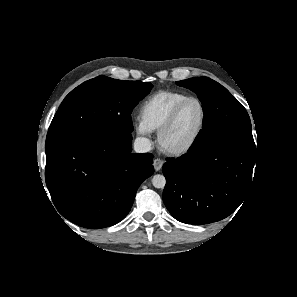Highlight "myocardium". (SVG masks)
Wrapping results in <instances>:
<instances>
[{
	"label": "myocardium",
	"mask_w": 297,
	"mask_h": 297,
	"mask_svg": "<svg viewBox=\"0 0 297 297\" xmlns=\"http://www.w3.org/2000/svg\"><path fill=\"white\" fill-rule=\"evenodd\" d=\"M190 102H197L201 108V121L199 124V127L196 131V133L194 134V136L192 137V139L183 147L180 148H176V149H171L168 148L164 145V138L166 136V134L169 132V130L173 127V125L175 124L181 110ZM206 122H207V111H206V107L203 104V102L196 97H188L185 100L181 101L170 113V115L168 116V118L165 120V122L162 124V126L159 128L158 132H157V144L159 146V148L167 155L169 156H182L187 154L188 152H190L198 143L200 137L203 134V131L205 129L206 126Z\"/></svg>",
	"instance_id": "myocardium-1"
}]
</instances>
